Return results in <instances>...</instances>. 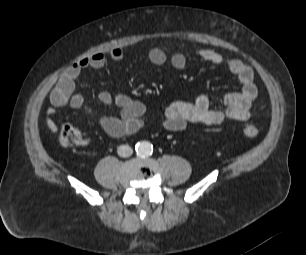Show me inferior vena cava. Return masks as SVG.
<instances>
[{"label": "inferior vena cava", "instance_id": "1", "mask_svg": "<svg viewBox=\"0 0 306 255\" xmlns=\"http://www.w3.org/2000/svg\"><path fill=\"white\" fill-rule=\"evenodd\" d=\"M117 153L120 157H129L132 155L133 150L128 145H120L117 149Z\"/></svg>", "mask_w": 306, "mask_h": 255}]
</instances>
